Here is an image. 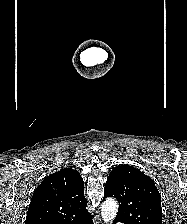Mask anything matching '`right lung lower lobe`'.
<instances>
[{
    "label": "right lung lower lobe",
    "instance_id": "98d812e1",
    "mask_svg": "<svg viewBox=\"0 0 187 224\" xmlns=\"http://www.w3.org/2000/svg\"><path fill=\"white\" fill-rule=\"evenodd\" d=\"M79 224H93L92 217L88 218L87 220H85V221H83V222H81Z\"/></svg>",
    "mask_w": 187,
    "mask_h": 224
}]
</instances>
